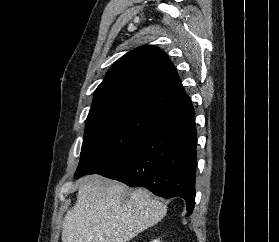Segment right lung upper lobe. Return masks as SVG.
<instances>
[{
  "label": "right lung upper lobe",
  "mask_w": 279,
  "mask_h": 242,
  "mask_svg": "<svg viewBox=\"0 0 279 242\" xmlns=\"http://www.w3.org/2000/svg\"><path fill=\"white\" fill-rule=\"evenodd\" d=\"M191 103L173 63L153 46L121 57L97 87L89 115L117 111L162 114Z\"/></svg>",
  "instance_id": "1"
}]
</instances>
